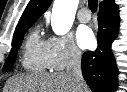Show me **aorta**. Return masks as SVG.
Listing matches in <instances>:
<instances>
[{"instance_id": "762f6f07", "label": "aorta", "mask_w": 127, "mask_h": 92, "mask_svg": "<svg viewBox=\"0 0 127 92\" xmlns=\"http://www.w3.org/2000/svg\"><path fill=\"white\" fill-rule=\"evenodd\" d=\"M79 0H55L51 26L55 34L65 35L72 27Z\"/></svg>"}]
</instances>
